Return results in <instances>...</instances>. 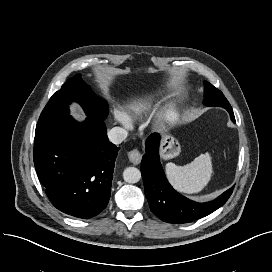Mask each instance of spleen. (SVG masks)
Listing matches in <instances>:
<instances>
[{"instance_id": "spleen-1", "label": "spleen", "mask_w": 272, "mask_h": 272, "mask_svg": "<svg viewBox=\"0 0 272 272\" xmlns=\"http://www.w3.org/2000/svg\"><path fill=\"white\" fill-rule=\"evenodd\" d=\"M212 171L211 155L208 152L184 166H177L171 162L165 165V173L170 184L176 191L186 194L202 191L209 183Z\"/></svg>"}]
</instances>
